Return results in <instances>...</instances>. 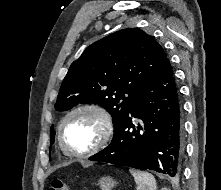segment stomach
<instances>
[{
	"label": "stomach",
	"mask_w": 221,
	"mask_h": 190,
	"mask_svg": "<svg viewBox=\"0 0 221 190\" xmlns=\"http://www.w3.org/2000/svg\"><path fill=\"white\" fill-rule=\"evenodd\" d=\"M117 182L110 176H104L99 180L101 190H112Z\"/></svg>",
	"instance_id": "stomach-1"
}]
</instances>
